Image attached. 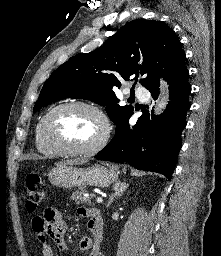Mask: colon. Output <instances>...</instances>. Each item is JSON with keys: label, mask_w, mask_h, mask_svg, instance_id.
<instances>
[{"label": "colon", "mask_w": 221, "mask_h": 256, "mask_svg": "<svg viewBox=\"0 0 221 256\" xmlns=\"http://www.w3.org/2000/svg\"><path fill=\"white\" fill-rule=\"evenodd\" d=\"M26 200L25 206L29 212L37 209L40 203L45 199L46 188L41 176L35 172L30 171L25 178Z\"/></svg>", "instance_id": "obj_1"}]
</instances>
